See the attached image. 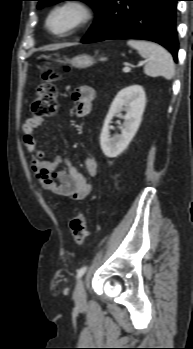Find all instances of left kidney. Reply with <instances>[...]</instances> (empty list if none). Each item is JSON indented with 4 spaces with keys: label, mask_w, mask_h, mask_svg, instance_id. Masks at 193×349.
Masks as SVG:
<instances>
[{
    "label": "left kidney",
    "mask_w": 193,
    "mask_h": 349,
    "mask_svg": "<svg viewBox=\"0 0 193 349\" xmlns=\"http://www.w3.org/2000/svg\"><path fill=\"white\" fill-rule=\"evenodd\" d=\"M145 104V91L140 85H131L118 92L106 115L100 134V145L105 156L115 158L127 148L139 128ZM122 111H126L124 116L121 114ZM115 115L124 119L117 141L109 135V125Z\"/></svg>",
    "instance_id": "obj_1"
}]
</instances>
